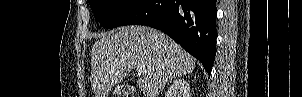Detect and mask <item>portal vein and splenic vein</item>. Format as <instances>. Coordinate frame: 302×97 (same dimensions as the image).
Here are the masks:
<instances>
[{
	"label": "portal vein and splenic vein",
	"instance_id": "portal-vein-and-splenic-vein-1",
	"mask_svg": "<svg viewBox=\"0 0 302 97\" xmlns=\"http://www.w3.org/2000/svg\"><path fill=\"white\" fill-rule=\"evenodd\" d=\"M136 70L138 71V73H146L147 72V68L144 65H137Z\"/></svg>",
	"mask_w": 302,
	"mask_h": 97
}]
</instances>
